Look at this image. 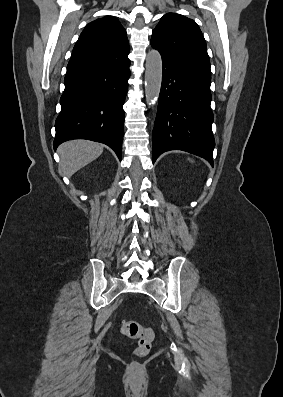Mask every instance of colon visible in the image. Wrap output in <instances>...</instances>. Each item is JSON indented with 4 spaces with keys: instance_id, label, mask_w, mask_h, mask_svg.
Returning <instances> with one entry per match:
<instances>
[{
    "instance_id": "5ec220e1",
    "label": "colon",
    "mask_w": 283,
    "mask_h": 397,
    "mask_svg": "<svg viewBox=\"0 0 283 397\" xmlns=\"http://www.w3.org/2000/svg\"><path fill=\"white\" fill-rule=\"evenodd\" d=\"M121 332L129 338L139 339L138 346L135 350L137 355L144 356L149 352L154 338L152 329L144 327L136 321L128 320L122 322Z\"/></svg>"
}]
</instances>
